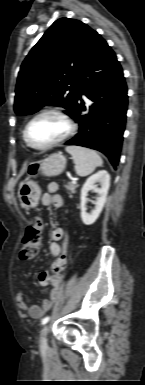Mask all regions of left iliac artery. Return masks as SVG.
I'll return each mask as SVG.
<instances>
[{
	"instance_id": "left-iliac-artery-1",
	"label": "left iliac artery",
	"mask_w": 145,
	"mask_h": 385,
	"mask_svg": "<svg viewBox=\"0 0 145 385\" xmlns=\"http://www.w3.org/2000/svg\"><path fill=\"white\" fill-rule=\"evenodd\" d=\"M50 317L46 316L45 318L42 319V325H45L49 321Z\"/></svg>"
}]
</instances>
